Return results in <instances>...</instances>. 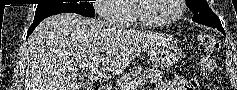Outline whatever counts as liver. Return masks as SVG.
<instances>
[{
  "label": "liver",
  "instance_id": "obj_1",
  "mask_svg": "<svg viewBox=\"0 0 237 90\" xmlns=\"http://www.w3.org/2000/svg\"><path fill=\"white\" fill-rule=\"evenodd\" d=\"M154 32L120 30L109 22L79 14H57L43 20L24 48L21 58L24 90H83L77 72L124 70L142 48L156 44ZM91 90V88H90Z\"/></svg>",
  "mask_w": 237,
  "mask_h": 90
}]
</instances>
